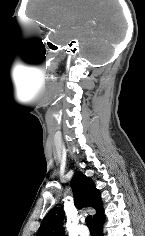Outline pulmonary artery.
<instances>
[{"mask_svg":"<svg viewBox=\"0 0 145 236\" xmlns=\"http://www.w3.org/2000/svg\"><path fill=\"white\" fill-rule=\"evenodd\" d=\"M79 236H89V230L85 225H81L78 230Z\"/></svg>","mask_w":145,"mask_h":236,"instance_id":"obj_1","label":"pulmonary artery"}]
</instances>
